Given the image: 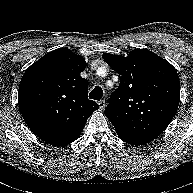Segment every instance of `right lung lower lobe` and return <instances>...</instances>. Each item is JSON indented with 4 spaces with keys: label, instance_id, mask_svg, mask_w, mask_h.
I'll use <instances>...</instances> for the list:
<instances>
[{
    "label": "right lung lower lobe",
    "instance_id": "1",
    "mask_svg": "<svg viewBox=\"0 0 193 193\" xmlns=\"http://www.w3.org/2000/svg\"><path fill=\"white\" fill-rule=\"evenodd\" d=\"M77 139V138H76ZM75 139V140H76ZM74 140H72V141H70V142H66V143H61V144H59V145H55V146H63V145H67V144H69V143H71V142H73Z\"/></svg>",
    "mask_w": 193,
    "mask_h": 193
}]
</instances>
